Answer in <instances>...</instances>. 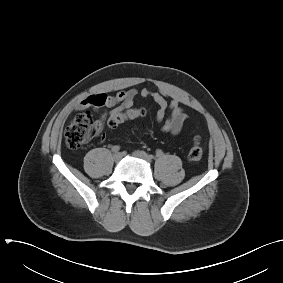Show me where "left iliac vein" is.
Wrapping results in <instances>:
<instances>
[{
    "label": "left iliac vein",
    "instance_id": "left-iliac-vein-1",
    "mask_svg": "<svg viewBox=\"0 0 283 283\" xmlns=\"http://www.w3.org/2000/svg\"><path fill=\"white\" fill-rule=\"evenodd\" d=\"M133 156L145 160L148 163L151 162V157L144 151H140V150L134 151Z\"/></svg>",
    "mask_w": 283,
    "mask_h": 283
}]
</instances>
